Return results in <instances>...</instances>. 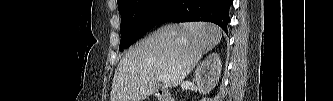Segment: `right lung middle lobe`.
Masks as SVG:
<instances>
[{
	"label": "right lung middle lobe",
	"instance_id": "1",
	"mask_svg": "<svg viewBox=\"0 0 333 101\" xmlns=\"http://www.w3.org/2000/svg\"><path fill=\"white\" fill-rule=\"evenodd\" d=\"M171 0H120L121 41L123 51L152 27L162 22Z\"/></svg>",
	"mask_w": 333,
	"mask_h": 101
}]
</instances>
